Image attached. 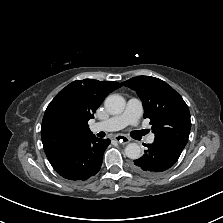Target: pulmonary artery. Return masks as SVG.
<instances>
[{"mask_svg":"<svg viewBox=\"0 0 223 223\" xmlns=\"http://www.w3.org/2000/svg\"><path fill=\"white\" fill-rule=\"evenodd\" d=\"M143 112V106L139 99L131 98L128 100L124 112L112 116L104 121L96 122L91 126L92 132L99 131H116L124 128L127 125H137ZM146 142L152 144L154 136L149 135Z\"/></svg>","mask_w":223,"mask_h":223,"instance_id":"1","label":"pulmonary artery"}]
</instances>
